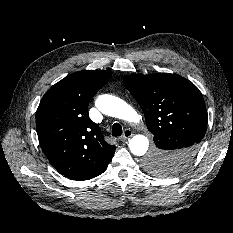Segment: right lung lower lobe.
Wrapping results in <instances>:
<instances>
[{"label": "right lung lower lobe", "mask_w": 233, "mask_h": 233, "mask_svg": "<svg viewBox=\"0 0 233 233\" xmlns=\"http://www.w3.org/2000/svg\"><path fill=\"white\" fill-rule=\"evenodd\" d=\"M104 172V171H103ZM102 172V173H103ZM100 175V174H99ZM96 177V176H95ZM94 178V177H93ZM88 179H91V178H75L73 180H77V181H82V180H88Z\"/></svg>", "instance_id": "obj_1"}]
</instances>
